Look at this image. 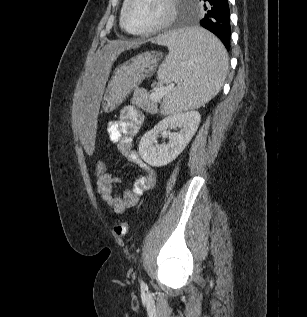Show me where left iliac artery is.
<instances>
[{"mask_svg": "<svg viewBox=\"0 0 307 317\" xmlns=\"http://www.w3.org/2000/svg\"><path fill=\"white\" fill-rule=\"evenodd\" d=\"M141 287L142 288H145L146 287V284L141 280Z\"/></svg>", "mask_w": 307, "mask_h": 317, "instance_id": "obj_1", "label": "left iliac artery"}]
</instances>
